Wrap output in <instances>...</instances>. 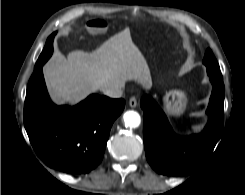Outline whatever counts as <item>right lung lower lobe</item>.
Here are the masks:
<instances>
[{"label":"right lung lower lobe","instance_id":"98d812e1","mask_svg":"<svg viewBox=\"0 0 245 195\" xmlns=\"http://www.w3.org/2000/svg\"><path fill=\"white\" fill-rule=\"evenodd\" d=\"M53 38L54 34L48 44ZM124 105L123 99L93 94L74 107L56 106L49 98L40 66L28 83L24 125L35 152L47 166L83 174L102 161L110 129Z\"/></svg>","mask_w":245,"mask_h":195}]
</instances>
